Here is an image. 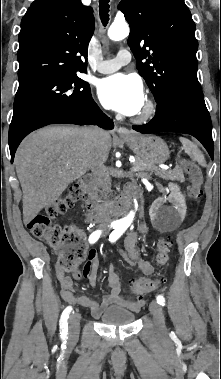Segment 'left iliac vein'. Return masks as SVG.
Masks as SVG:
<instances>
[{
  "label": "left iliac vein",
  "mask_w": 221,
  "mask_h": 379,
  "mask_svg": "<svg viewBox=\"0 0 221 379\" xmlns=\"http://www.w3.org/2000/svg\"><path fill=\"white\" fill-rule=\"evenodd\" d=\"M149 310L153 316V320L157 330H165V321L161 306L157 302L152 301L149 305Z\"/></svg>",
  "instance_id": "1"
}]
</instances>
